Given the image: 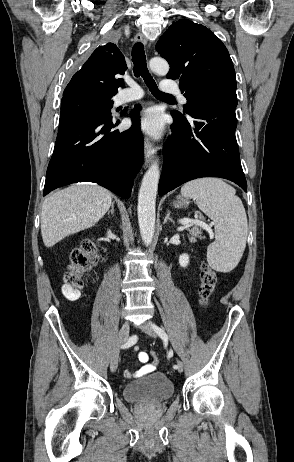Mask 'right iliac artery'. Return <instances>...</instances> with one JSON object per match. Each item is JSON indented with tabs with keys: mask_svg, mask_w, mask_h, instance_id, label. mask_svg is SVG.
<instances>
[{
	"mask_svg": "<svg viewBox=\"0 0 294 462\" xmlns=\"http://www.w3.org/2000/svg\"><path fill=\"white\" fill-rule=\"evenodd\" d=\"M137 342V336L136 335H133L132 337L129 338V340L127 341V343H125L122 348H128L132 345H134L135 343Z\"/></svg>",
	"mask_w": 294,
	"mask_h": 462,
	"instance_id": "right-iliac-artery-1",
	"label": "right iliac artery"
}]
</instances>
